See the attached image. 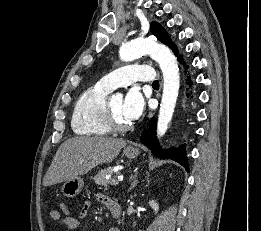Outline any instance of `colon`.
Returning <instances> with one entry per match:
<instances>
[{
  "mask_svg": "<svg viewBox=\"0 0 261 231\" xmlns=\"http://www.w3.org/2000/svg\"><path fill=\"white\" fill-rule=\"evenodd\" d=\"M61 211H62L63 213L68 212V207H67L66 204H62V205H61Z\"/></svg>",
  "mask_w": 261,
  "mask_h": 231,
  "instance_id": "obj_1",
  "label": "colon"
}]
</instances>
